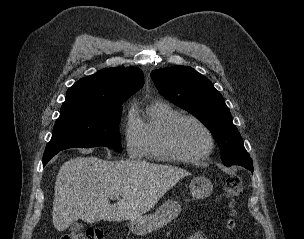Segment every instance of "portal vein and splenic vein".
<instances>
[{
	"label": "portal vein and splenic vein",
	"instance_id": "obj_1",
	"mask_svg": "<svg viewBox=\"0 0 304 239\" xmlns=\"http://www.w3.org/2000/svg\"><path fill=\"white\" fill-rule=\"evenodd\" d=\"M111 198L119 199V196L117 194H113Z\"/></svg>",
	"mask_w": 304,
	"mask_h": 239
}]
</instances>
